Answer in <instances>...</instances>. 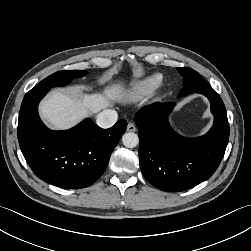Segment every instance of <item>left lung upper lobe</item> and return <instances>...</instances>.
Segmentation results:
<instances>
[{"label": "left lung upper lobe", "mask_w": 251, "mask_h": 251, "mask_svg": "<svg viewBox=\"0 0 251 251\" xmlns=\"http://www.w3.org/2000/svg\"><path fill=\"white\" fill-rule=\"evenodd\" d=\"M179 73L183 76L184 79V88L188 89L192 87H199L203 84H206L207 82L200 76V74L196 71H194L191 68L182 67L177 68Z\"/></svg>", "instance_id": "5c2ea615"}]
</instances>
